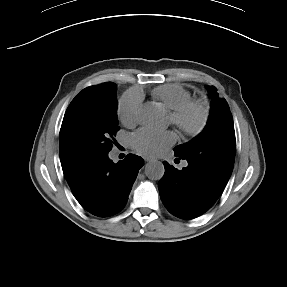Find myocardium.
I'll use <instances>...</instances> for the list:
<instances>
[{"instance_id":"1","label":"myocardium","mask_w":287,"mask_h":287,"mask_svg":"<svg viewBox=\"0 0 287 287\" xmlns=\"http://www.w3.org/2000/svg\"><path fill=\"white\" fill-rule=\"evenodd\" d=\"M190 114L197 116L196 121L189 125L186 118ZM209 119L207 105L196 99H190L170 114V123L186 137H195L203 132Z\"/></svg>"}]
</instances>
